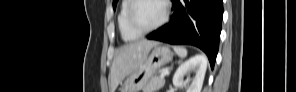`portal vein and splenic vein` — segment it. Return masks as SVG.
<instances>
[{
    "instance_id": "portal-vein-and-splenic-vein-1",
    "label": "portal vein and splenic vein",
    "mask_w": 296,
    "mask_h": 92,
    "mask_svg": "<svg viewBox=\"0 0 296 92\" xmlns=\"http://www.w3.org/2000/svg\"><path fill=\"white\" fill-rule=\"evenodd\" d=\"M168 74V72L166 71V72H163V73H161V75H160V78H164L166 75Z\"/></svg>"
}]
</instances>
